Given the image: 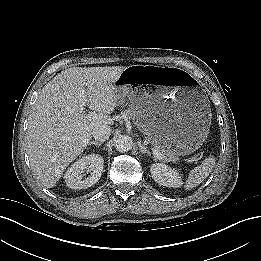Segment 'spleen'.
<instances>
[{"label":"spleen","instance_id":"spleen-1","mask_svg":"<svg viewBox=\"0 0 261 261\" xmlns=\"http://www.w3.org/2000/svg\"><path fill=\"white\" fill-rule=\"evenodd\" d=\"M215 158L208 157L206 158L201 165L192 169L189 173V176L185 182L184 188L185 190H191L194 187L201 184L212 172L215 166Z\"/></svg>","mask_w":261,"mask_h":261}]
</instances>
